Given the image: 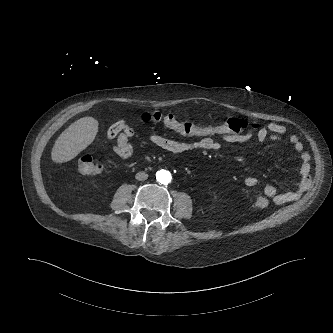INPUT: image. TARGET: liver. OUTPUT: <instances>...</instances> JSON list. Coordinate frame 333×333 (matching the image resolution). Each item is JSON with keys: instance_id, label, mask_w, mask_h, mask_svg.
<instances>
[{"instance_id": "6515ba94", "label": "liver", "mask_w": 333, "mask_h": 333, "mask_svg": "<svg viewBox=\"0 0 333 333\" xmlns=\"http://www.w3.org/2000/svg\"><path fill=\"white\" fill-rule=\"evenodd\" d=\"M98 126L99 122L93 117H83L72 123L55 141L52 161L64 163L74 159L94 141Z\"/></svg>"}]
</instances>
